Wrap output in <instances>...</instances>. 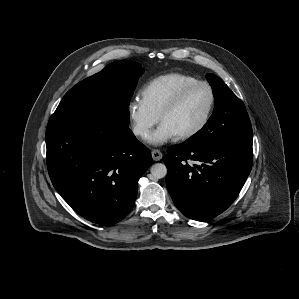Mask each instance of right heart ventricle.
I'll return each instance as SVG.
<instances>
[{"instance_id": "right-heart-ventricle-1", "label": "right heart ventricle", "mask_w": 299, "mask_h": 299, "mask_svg": "<svg viewBox=\"0 0 299 299\" xmlns=\"http://www.w3.org/2000/svg\"><path fill=\"white\" fill-rule=\"evenodd\" d=\"M196 80L194 76L180 72L158 76L141 89V100L153 113L159 116L164 106L183 86Z\"/></svg>"}]
</instances>
